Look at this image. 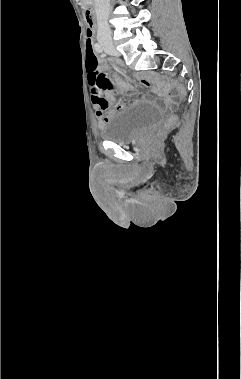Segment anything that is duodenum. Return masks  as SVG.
<instances>
[{
  "label": "duodenum",
  "mask_w": 241,
  "mask_h": 379,
  "mask_svg": "<svg viewBox=\"0 0 241 379\" xmlns=\"http://www.w3.org/2000/svg\"><path fill=\"white\" fill-rule=\"evenodd\" d=\"M93 5L92 2H88L85 4V17L88 22H92L93 20Z\"/></svg>",
  "instance_id": "obj_1"
}]
</instances>
